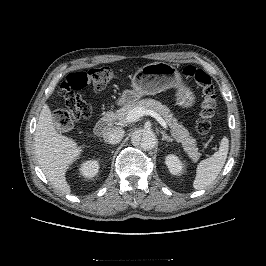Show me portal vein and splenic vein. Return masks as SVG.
I'll use <instances>...</instances> for the list:
<instances>
[{"mask_svg":"<svg viewBox=\"0 0 266 266\" xmlns=\"http://www.w3.org/2000/svg\"><path fill=\"white\" fill-rule=\"evenodd\" d=\"M145 114L154 117L160 123V125L163 126V128L167 129V122L158 113L154 112L153 110H147L143 107H136L131 110L127 115V122H136Z\"/></svg>","mask_w":266,"mask_h":266,"instance_id":"18ae733b","label":"portal vein and splenic vein"}]
</instances>
